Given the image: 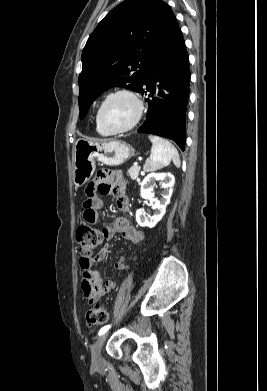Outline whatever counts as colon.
<instances>
[{
  "label": "colon",
  "instance_id": "colon-1",
  "mask_svg": "<svg viewBox=\"0 0 267 391\" xmlns=\"http://www.w3.org/2000/svg\"><path fill=\"white\" fill-rule=\"evenodd\" d=\"M102 237V231L93 226L81 225L77 228L76 239L83 260L87 261L91 254L99 247ZM107 319L108 313L106 309L101 306L90 308L85 316L88 325L103 324Z\"/></svg>",
  "mask_w": 267,
  "mask_h": 391
}]
</instances>
